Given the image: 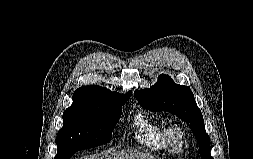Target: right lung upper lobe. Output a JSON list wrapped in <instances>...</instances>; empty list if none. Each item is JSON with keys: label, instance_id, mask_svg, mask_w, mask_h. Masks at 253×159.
<instances>
[{"label": "right lung upper lobe", "instance_id": "obj_1", "mask_svg": "<svg viewBox=\"0 0 253 159\" xmlns=\"http://www.w3.org/2000/svg\"><path fill=\"white\" fill-rule=\"evenodd\" d=\"M131 91L126 94H118L112 92L107 88L90 85L77 89L73 94V102H106V101H119L127 100L131 96Z\"/></svg>", "mask_w": 253, "mask_h": 159}]
</instances>
